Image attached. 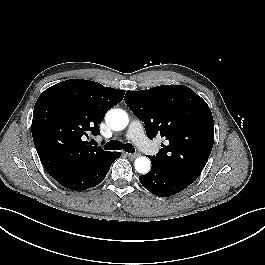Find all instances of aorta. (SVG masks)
Returning a JSON list of instances; mask_svg holds the SVG:
<instances>
[{
  "label": "aorta",
  "mask_w": 265,
  "mask_h": 265,
  "mask_svg": "<svg viewBox=\"0 0 265 265\" xmlns=\"http://www.w3.org/2000/svg\"><path fill=\"white\" fill-rule=\"evenodd\" d=\"M106 124L114 131H120L127 127L129 123L128 114L122 109H111L105 116ZM135 170L140 174L150 171L151 163L147 157H138L135 162Z\"/></svg>",
  "instance_id": "1"
}]
</instances>
